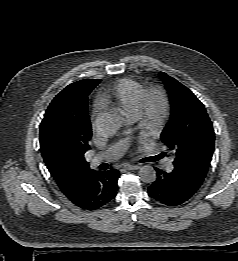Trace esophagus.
Wrapping results in <instances>:
<instances>
[{"mask_svg": "<svg viewBox=\"0 0 238 261\" xmlns=\"http://www.w3.org/2000/svg\"><path fill=\"white\" fill-rule=\"evenodd\" d=\"M123 168H125L127 170H137V169H139V166L126 163L123 165Z\"/></svg>", "mask_w": 238, "mask_h": 261, "instance_id": "obj_1", "label": "esophagus"}]
</instances>
